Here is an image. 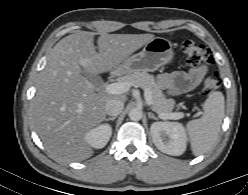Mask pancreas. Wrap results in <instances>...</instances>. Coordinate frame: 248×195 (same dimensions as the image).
I'll return each mask as SVG.
<instances>
[{"label":"pancreas","mask_w":248,"mask_h":195,"mask_svg":"<svg viewBox=\"0 0 248 195\" xmlns=\"http://www.w3.org/2000/svg\"><path fill=\"white\" fill-rule=\"evenodd\" d=\"M120 82H130L134 86L148 89L152 95V109L157 114H170L175 107L172 98H166L162 90L155 82L153 75L147 72H136L119 78Z\"/></svg>","instance_id":"1"}]
</instances>
